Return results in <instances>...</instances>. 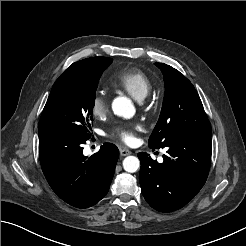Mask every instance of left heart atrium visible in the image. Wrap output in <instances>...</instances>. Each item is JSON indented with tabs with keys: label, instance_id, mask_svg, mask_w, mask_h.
<instances>
[{
	"label": "left heart atrium",
	"instance_id": "left-heart-atrium-1",
	"mask_svg": "<svg viewBox=\"0 0 246 246\" xmlns=\"http://www.w3.org/2000/svg\"><path fill=\"white\" fill-rule=\"evenodd\" d=\"M116 136L125 144L131 145L136 142L135 127L125 126L116 131Z\"/></svg>",
	"mask_w": 246,
	"mask_h": 246
}]
</instances>
